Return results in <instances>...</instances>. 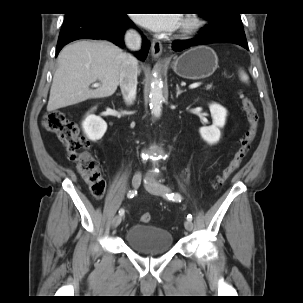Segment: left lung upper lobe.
<instances>
[{"mask_svg":"<svg viewBox=\"0 0 303 303\" xmlns=\"http://www.w3.org/2000/svg\"><path fill=\"white\" fill-rule=\"evenodd\" d=\"M208 19V25L203 29L205 32L215 31H244L240 14L238 13H214L204 14Z\"/></svg>","mask_w":303,"mask_h":303,"instance_id":"left-lung-upper-lobe-1","label":"left lung upper lobe"}]
</instances>
